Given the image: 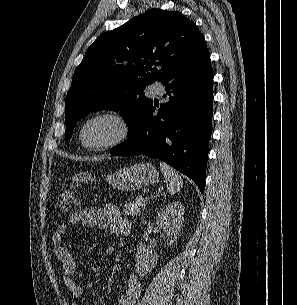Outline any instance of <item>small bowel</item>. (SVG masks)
Listing matches in <instances>:
<instances>
[{
  "label": "small bowel",
  "mask_w": 297,
  "mask_h": 305,
  "mask_svg": "<svg viewBox=\"0 0 297 305\" xmlns=\"http://www.w3.org/2000/svg\"><path fill=\"white\" fill-rule=\"evenodd\" d=\"M76 225L96 226L101 230H108L111 234H126L130 230V224L122 217L121 211L116 205L106 204L103 207H87L70 215L55 227L52 234V242L56 257L62 264V280L73 296L82 297L88 287L76 283L73 279L77 265L63 243L70 229ZM105 252L108 255L114 254V245H107ZM141 288L138 276L134 273L129 274L126 289L120 294L117 304L135 305L140 296Z\"/></svg>",
  "instance_id": "small-bowel-1"
}]
</instances>
